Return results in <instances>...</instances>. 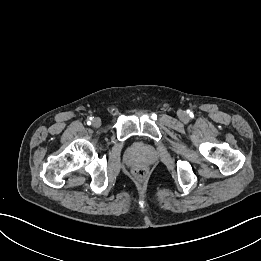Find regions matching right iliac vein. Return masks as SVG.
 <instances>
[{
  "label": "right iliac vein",
  "instance_id": "right-iliac-vein-1",
  "mask_svg": "<svg viewBox=\"0 0 261 261\" xmlns=\"http://www.w3.org/2000/svg\"><path fill=\"white\" fill-rule=\"evenodd\" d=\"M92 124L94 127H100L101 126V119L100 118H94L92 121Z\"/></svg>",
  "mask_w": 261,
  "mask_h": 261
}]
</instances>
